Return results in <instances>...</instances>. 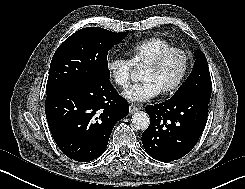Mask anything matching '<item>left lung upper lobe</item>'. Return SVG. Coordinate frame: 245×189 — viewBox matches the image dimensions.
<instances>
[{"label": "left lung upper lobe", "mask_w": 245, "mask_h": 189, "mask_svg": "<svg viewBox=\"0 0 245 189\" xmlns=\"http://www.w3.org/2000/svg\"><path fill=\"white\" fill-rule=\"evenodd\" d=\"M195 56L196 61L191 74L172 97L186 94H198L208 98L211 97L212 82L207 59L201 50H196Z\"/></svg>", "instance_id": "obj_1"}]
</instances>
